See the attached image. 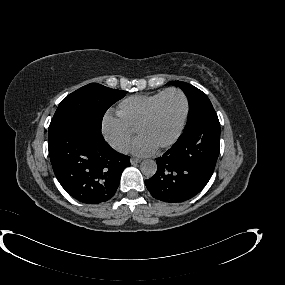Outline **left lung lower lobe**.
Instances as JSON below:
<instances>
[{
    "label": "left lung lower lobe",
    "instance_id": "1",
    "mask_svg": "<svg viewBox=\"0 0 285 285\" xmlns=\"http://www.w3.org/2000/svg\"><path fill=\"white\" fill-rule=\"evenodd\" d=\"M220 151L217 114L200 118L184 130L176 143L156 159L157 172L145 180L151 195L164 202L191 199L210 180Z\"/></svg>",
    "mask_w": 285,
    "mask_h": 285
}]
</instances>
